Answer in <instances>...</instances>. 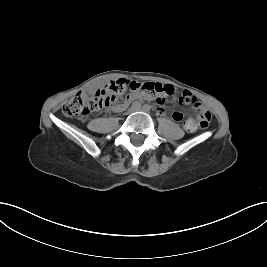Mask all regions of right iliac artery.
<instances>
[{"label": "right iliac artery", "mask_w": 267, "mask_h": 267, "mask_svg": "<svg viewBox=\"0 0 267 267\" xmlns=\"http://www.w3.org/2000/svg\"><path fill=\"white\" fill-rule=\"evenodd\" d=\"M132 107L134 109H139L141 107V103L139 101H135L133 104H132Z\"/></svg>", "instance_id": "82829eb1"}]
</instances>
